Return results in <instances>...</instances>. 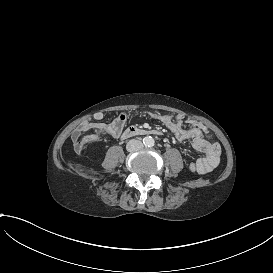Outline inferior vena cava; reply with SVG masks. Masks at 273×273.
<instances>
[{
  "mask_svg": "<svg viewBox=\"0 0 273 273\" xmlns=\"http://www.w3.org/2000/svg\"><path fill=\"white\" fill-rule=\"evenodd\" d=\"M142 147H143L142 142L139 140H135V139L130 140L126 146L128 151H135V150L140 149Z\"/></svg>",
  "mask_w": 273,
  "mask_h": 273,
  "instance_id": "1",
  "label": "inferior vena cava"
}]
</instances>
